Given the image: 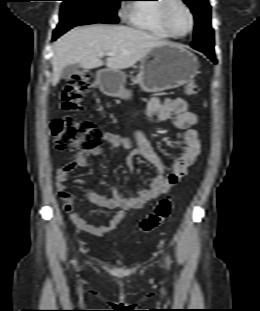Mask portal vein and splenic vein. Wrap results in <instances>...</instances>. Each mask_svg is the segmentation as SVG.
I'll return each instance as SVG.
<instances>
[{
	"label": "portal vein and splenic vein",
	"mask_w": 260,
	"mask_h": 311,
	"mask_svg": "<svg viewBox=\"0 0 260 311\" xmlns=\"http://www.w3.org/2000/svg\"><path fill=\"white\" fill-rule=\"evenodd\" d=\"M99 55H100V56H104V55H107V56H114L115 54H114V53H100Z\"/></svg>",
	"instance_id": "obj_1"
}]
</instances>
